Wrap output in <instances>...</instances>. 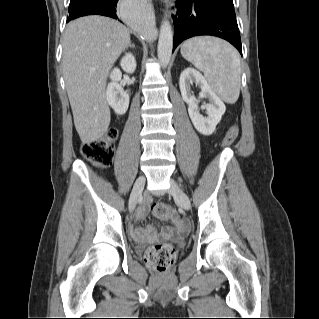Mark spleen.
<instances>
[{
  "mask_svg": "<svg viewBox=\"0 0 319 319\" xmlns=\"http://www.w3.org/2000/svg\"><path fill=\"white\" fill-rule=\"evenodd\" d=\"M181 55L202 71L211 89L226 103L238 100L241 85L240 56L227 42L210 36L185 41Z\"/></svg>",
  "mask_w": 319,
  "mask_h": 319,
  "instance_id": "obj_1",
  "label": "spleen"
}]
</instances>
